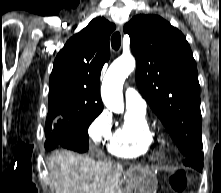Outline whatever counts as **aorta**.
Instances as JSON below:
<instances>
[{
    "label": "aorta",
    "instance_id": "1",
    "mask_svg": "<svg viewBox=\"0 0 221 193\" xmlns=\"http://www.w3.org/2000/svg\"><path fill=\"white\" fill-rule=\"evenodd\" d=\"M134 68L135 59L131 55L121 56L110 65L101 87L102 100L110 111L123 113V84Z\"/></svg>",
    "mask_w": 221,
    "mask_h": 193
}]
</instances>
